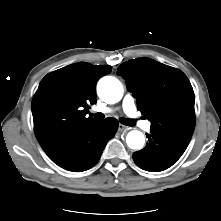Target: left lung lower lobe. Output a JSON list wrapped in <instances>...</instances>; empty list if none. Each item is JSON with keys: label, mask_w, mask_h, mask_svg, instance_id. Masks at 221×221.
Returning <instances> with one entry per match:
<instances>
[{"label": "left lung lower lobe", "mask_w": 221, "mask_h": 221, "mask_svg": "<svg viewBox=\"0 0 221 221\" xmlns=\"http://www.w3.org/2000/svg\"><path fill=\"white\" fill-rule=\"evenodd\" d=\"M146 136L149 142L145 148L133 154L134 162L146 171L166 170L177 162L187 148L155 132L146 133Z\"/></svg>", "instance_id": "0a47b994"}]
</instances>
